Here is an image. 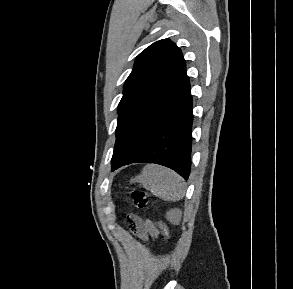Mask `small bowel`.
Instances as JSON below:
<instances>
[{"label": "small bowel", "instance_id": "small-bowel-1", "mask_svg": "<svg viewBox=\"0 0 293 289\" xmlns=\"http://www.w3.org/2000/svg\"><path fill=\"white\" fill-rule=\"evenodd\" d=\"M131 230L143 241L149 238L156 240L158 237V230L151 221L142 219L137 215H130Z\"/></svg>", "mask_w": 293, "mask_h": 289}]
</instances>
